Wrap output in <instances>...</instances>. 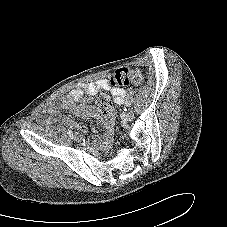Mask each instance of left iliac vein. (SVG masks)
Returning a JSON list of instances; mask_svg holds the SVG:
<instances>
[{
	"instance_id": "obj_1",
	"label": "left iliac vein",
	"mask_w": 227,
	"mask_h": 227,
	"mask_svg": "<svg viewBox=\"0 0 227 227\" xmlns=\"http://www.w3.org/2000/svg\"><path fill=\"white\" fill-rule=\"evenodd\" d=\"M124 121L130 122L134 119V112L132 110H128L123 117Z\"/></svg>"
}]
</instances>
